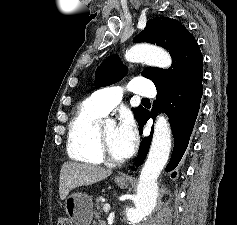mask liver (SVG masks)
Here are the masks:
<instances>
[{
  "label": "liver",
  "instance_id": "1",
  "mask_svg": "<svg viewBox=\"0 0 237 225\" xmlns=\"http://www.w3.org/2000/svg\"><path fill=\"white\" fill-rule=\"evenodd\" d=\"M112 174V170L89 164L65 162L60 171L59 195L64 200L77 187L97 183Z\"/></svg>",
  "mask_w": 237,
  "mask_h": 225
}]
</instances>
